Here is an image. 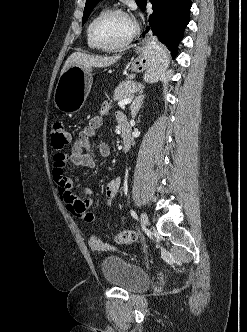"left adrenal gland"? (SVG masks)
Wrapping results in <instances>:
<instances>
[{
    "instance_id": "1",
    "label": "left adrenal gland",
    "mask_w": 247,
    "mask_h": 332,
    "mask_svg": "<svg viewBox=\"0 0 247 332\" xmlns=\"http://www.w3.org/2000/svg\"><path fill=\"white\" fill-rule=\"evenodd\" d=\"M145 95L141 94L137 96L134 101L131 103L130 110H131V117L135 118L138 111L140 110L141 106L143 105Z\"/></svg>"
}]
</instances>
